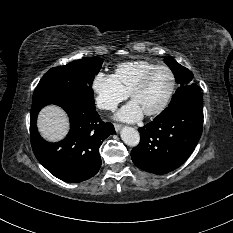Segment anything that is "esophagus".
<instances>
[{
	"label": "esophagus",
	"instance_id": "34e87169",
	"mask_svg": "<svg viewBox=\"0 0 233 233\" xmlns=\"http://www.w3.org/2000/svg\"><path fill=\"white\" fill-rule=\"evenodd\" d=\"M114 128H115V130L118 132V131L122 128V125H121V124H118V123H115V124H114Z\"/></svg>",
	"mask_w": 233,
	"mask_h": 233
}]
</instances>
